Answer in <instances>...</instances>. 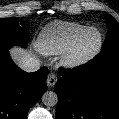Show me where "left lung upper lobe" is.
Listing matches in <instances>:
<instances>
[{"mask_svg": "<svg viewBox=\"0 0 119 119\" xmlns=\"http://www.w3.org/2000/svg\"><path fill=\"white\" fill-rule=\"evenodd\" d=\"M107 24V35L100 54L97 57L102 61H108L119 57V23L108 13L104 12Z\"/></svg>", "mask_w": 119, "mask_h": 119, "instance_id": "left-lung-upper-lobe-1", "label": "left lung upper lobe"}]
</instances>
